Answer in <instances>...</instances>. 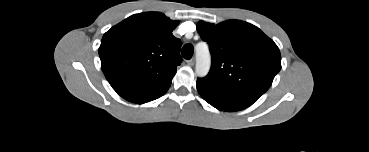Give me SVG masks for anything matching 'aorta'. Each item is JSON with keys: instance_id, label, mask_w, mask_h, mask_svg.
Wrapping results in <instances>:
<instances>
[{"instance_id": "762f6f07", "label": "aorta", "mask_w": 369, "mask_h": 152, "mask_svg": "<svg viewBox=\"0 0 369 152\" xmlns=\"http://www.w3.org/2000/svg\"><path fill=\"white\" fill-rule=\"evenodd\" d=\"M211 65V56L207 44L200 43L196 46V75L205 77Z\"/></svg>"}]
</instances>
